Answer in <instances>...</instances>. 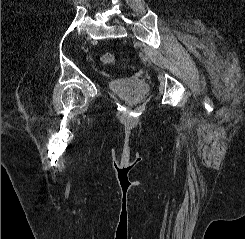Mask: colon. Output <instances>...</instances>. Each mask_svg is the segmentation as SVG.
<instances>
[{"label": "colon", "mask_w": 245, "mask_h": 239, "mask_svg": "<svg viewBox=\"0 0 245 239\" xmlns=\"http://www.w3.org/2000/svg\"><path fill=\"white\" fill-rule=\"evenodd\" d=\"M101 61L104 64H112L115 61V56L111 53H105L101 56Z\"/></svg>", "instance_id": "obj_1"}]
</instances>
